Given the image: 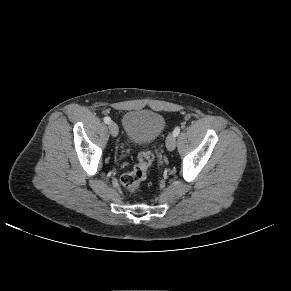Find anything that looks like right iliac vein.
Wrapping results in <instances>:
<instances>
[{
  "mask_svg": "<svg viewBox=\"0 0 291 291\" xmlns=\"http://www.w3.org/2000/svg\"><path fill=\"white\" fill-rule=\"evenodd\" d=\"M109 131L113 137H116L118 135L119 129L115 122L109 123Z\"/></svg>",
  "mask_w": 291,
  "mask_h": 291,
  "instance_id": "63e3f726",
  "label": "right iliac vein"
}]
</instances>
